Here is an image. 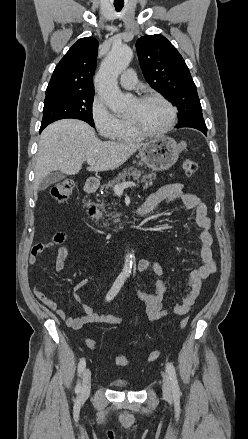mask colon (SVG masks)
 Here are the masks:
<instances>
[{
	"label": "colon",
	"instance_id": "5ec220e1",
	"mask_svg": "<svg viewBox=\"0 0 248 439\" xmlns=\"http://www.w3.org/2000/svg\"><path fill=\"white\" fill-rule=\"evenodd\" d=\"M182 168H183V172L184 175L187 178L192 177L197 169H198V165L195 161L190 160V159H186L184 160L183 164H182ZM74 189V182L72 180L66 179V180H62L59 183L56 184V186L52 189V197L57 200L58 202H64L66 201L70 195L72 194ZM64 239L63 234L59 233L57 234L54 239H53V243H61ZM188 317H184L180 323H179V327L181 329L185 328L188 324ZM87 346L89 347V349L91 350H97L98 345L97 342L94 340H87ZM160 356V351L159 350H155L153 352H151L148 356H147V362L152 363L154 361H156ZM114 362L116 365L118 366H122V367H126L130 364V360L128 358H126L125 356L122 355H115L114 356Z\"/></svg>",
	"mask_w": 248,
	"mask_h": 439
}]
</instances>
